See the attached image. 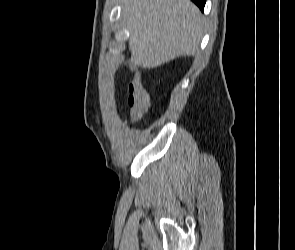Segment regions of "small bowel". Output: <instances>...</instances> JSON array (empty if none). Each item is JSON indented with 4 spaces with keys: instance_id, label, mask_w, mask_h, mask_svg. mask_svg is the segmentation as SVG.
I'll use <instances>...</instances> for the list:
<instances>
[{
    "instance_id": "small-bowel-1",
    "label": "small bowel",
    "mask_w": 295,
    "mask_h": 250,
    "mask_svg": "<svg viewBox=\"0 0 295 250\" xmlns=\"http://www.w3.org/2000/svg\"><path fill=\"white\" fill-rule=\"evenodd\" d=\"M137 78H139V74H137Z\"/></svg>"
}]
</instances>
